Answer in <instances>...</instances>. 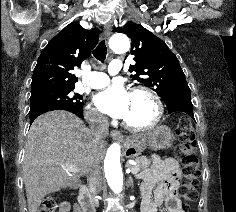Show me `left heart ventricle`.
Masks as SVG:
<instances>
[{
  "label": "left heart ventricle",
  "mask_w": 236,
  "mask_h": 212,
  "mask_svg": "<svg viewBox=\"0 0 236 212\" xmlns=\"http://www.w3.org/2000/svg\"><path fill=\"white\" fill-rule=\"evenodd\" d=\"M155 114L153 102L141 93L130 94L129 108L125 121L133 125H144L152 120Z\"/></svg>",
  "instance_id": "obj_1"
}]
</instances>
